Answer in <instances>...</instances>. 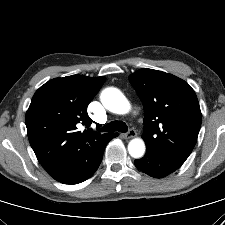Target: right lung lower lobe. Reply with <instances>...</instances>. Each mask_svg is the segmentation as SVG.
I'll return each mask as SVG.
<instances>
[{
  "instance_id": "obj_1",
  "label": "right lung lower lobe",
  "mask_w": 225,
  "mask_h": 225,
  "mask_svg": "<svg viewBox=\"0 0 225 225\" xmlns=\"http://www.w3.org/2000/svg\"><path fill=\"white\" fill-rule=\"evenodd\" d=\"M118 133H112L104 142L97 148L96 153L91 161L85 163L70 164L64 168L62 172L53 177L55 180L64 184H77L90 178L98 169L102 160L104 148L107 143Z\"/></svg>"
}]
</instances>
